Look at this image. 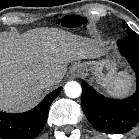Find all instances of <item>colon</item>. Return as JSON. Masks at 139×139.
<instances>
[{
	"label": "colon",
	"mask_w": 139,
	"mask_h": 139,
	"mask_svg": "<svg viewBox=\"0 0 139 139\" xmlns=\"http://www.w3.org/2000/svg\"><path fill=\"white\" fill-rule=\"evenodd\" d=\"M79 22V19L77 16H65L62 19L59 20V23L62 26L66 27H75Z\"/></svg>",
	"instance_id": "obj_1"
}]
</instances>
